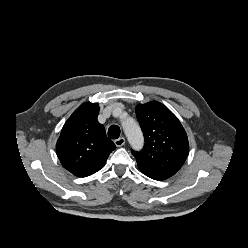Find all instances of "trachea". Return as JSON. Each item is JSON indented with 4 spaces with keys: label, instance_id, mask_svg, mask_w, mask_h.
Segmentation results:
<instances>
[{
    "label": "trachea",
    "instance_id": "trachea-1",
    "mask_svg": "<svg viewBox=\"0 0 248 248\" xmlns=\"http://www.w3.org/2000/svg\"><path fill=\"white\" fill-rule=\"evenodd\" d=\"M120 136V128L117 125H111L108 129V137L118 139Z\"/></svg>",
    "mask_w": 248,
    "mask_h": 248
}]
</instances>
